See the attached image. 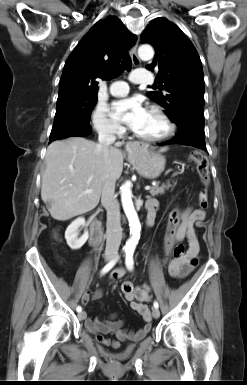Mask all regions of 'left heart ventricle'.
<instances>
[{"label":"left heart ventricle","instance_id":"obj_1","mask_svg":"<svg viewBox=\"0 0 247 385\" xmlns=\"http://www.w3.org/2000/svg\"><path fill=\"white\" fill-rule=\"evenodd\" d=\"M134 131L142 136L154 137L162 135L166 131V125L156 113L148 110L145 118Z\"/></svg>","mask_w":247,"mask_h":385}]
</instances>
